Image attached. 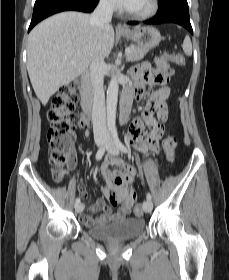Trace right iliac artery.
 <instances>
[{"instance_id":"1","label":"right iliac artery","mask_w":229,"mask_h":280,"mask_svg":"<svg viewBox=\"0 0 229 280\" xmlns=\"http://www.w3.org/2000/svg\"><path fill=\"white\" fill-rule=\"evenodd\" d=\"M105 153V146L101 147L96 153V160H100ZM80 203V198L76 199V204Z\"/></svg>"}]
</instances>
